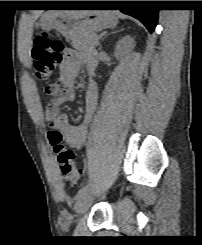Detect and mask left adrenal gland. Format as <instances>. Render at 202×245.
Returning <instances> with one entry per match:
<instances>
[{
    "label": "left adrenal gland",
    "mask_w": 202,
    "mask_h": 245,
    "mask_svg": "<svg viewBox=\"0 0 202 245\" xmlns=\"http://www.w3.org/2000/svg\"><path fill=\"white\" fill-rule=\"evenodd\" d=\"M117 32H120V31H116V32H113V33H117Z\"/></svg>",
    "instance_id": "left-adrenal-gland-1"
}]
</instances>
